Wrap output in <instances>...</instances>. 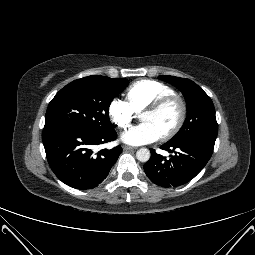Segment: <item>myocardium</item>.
<instances>
[{
    "instance_id": "myocardium-1",
    "label": "myocardium",
    "mask_w": 255,
    "mask_h": 255,
    "mask_svg": "<svg viewBox=\"0 0 255 255\" xmlns=\"http://www.w3.org/2000/svg\"><path fill=\"white\" fill-rule=\"evenodd\" d=\"M172 102H176L179 105V116L176 123L160 136L163 140H167L176 135L183 126L187 116V104L185 99L177 93L168 94L155 100L142 110V113L158 112Z\"/></svg>"
}]
</instances>
